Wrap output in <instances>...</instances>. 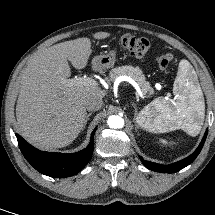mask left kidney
I'll use <instances>...</instances> for the list:
<instances>
[{
  "label": "left kidney",
  "mask_w": 215,
  "mask_h": 215,
  "mask_svg": "<svg viewBox=\"0 0 215 215\" xmlns=\"http://www.w3.org/2000/svg\"><path fill=\"white\" fill-rule=\"evenodd\" d=\"M161 142L167 144V141H165V140H161Z\"/></svg>",
  "instance_id": "obj_1"
}]
</instances>
